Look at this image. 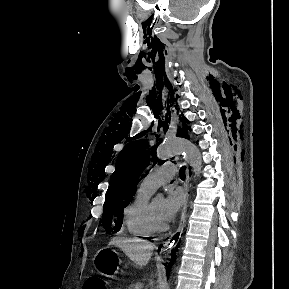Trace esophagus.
Returning a JSON list of instances; mask_svg holds the SVG:
<instances>
[{
  "label": "esophagus",
  "mask_w": 289,
  "mask_h": 289,
  "mask_svg": "<svg viewBox=\"0 0 289 289\" xmlns=\"http://www.w3.org/2000/svg\"><path fill=\"white\" fill-rule=\"evenodd\" d=\"M189 183H190V169L189 165L186 164V179L184 183L185 200L181 211L179 226L177 230L170 236V238L164 243L163 247L161 248V251H165L168 247L176 245L181 238L186 222L187 203L189 198Z\"/></svg>",
  "instance_id": "obj_1"
}]
</instances>
